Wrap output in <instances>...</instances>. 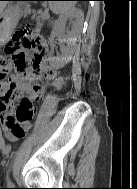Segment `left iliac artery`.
<instances>
[{"mask_svg": "<svg viewBox=\"0 0 137 189\" xmlns=\"http://www.w3.org/2000/svg\"><path fill=\"white\" fill-rule=\"evenodd\" d=\"M7 182H8V185H13V183L9 180L8 176H7Z\"/></svg>", "mask_w": 137, "mask_h": 189, "instance_id": "obj_1", "label": "left iliac artery"}]
</instances>
